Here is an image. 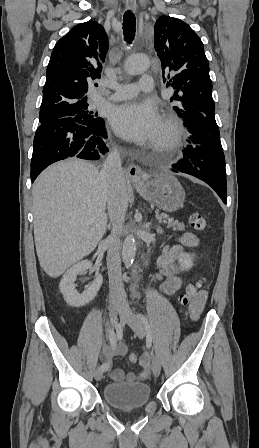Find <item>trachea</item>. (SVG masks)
<instances>
[{
	"label": "trachea",
	"mask_w": 259,
	"mask_h": 448,
	"mask_svg": "<svg viewBox=\"0 0 259 448\" xmlns=\"http://www.w3.org/2000/svg\"><path fill=\"white\" fill-rule=\"evenodd\" d=\"M135 16L130 11L125 12L123 18V34L127 43H131L135 37Z\"/></svg>",
	"instance_id": "trachea-1"
}]
</instances>
